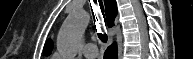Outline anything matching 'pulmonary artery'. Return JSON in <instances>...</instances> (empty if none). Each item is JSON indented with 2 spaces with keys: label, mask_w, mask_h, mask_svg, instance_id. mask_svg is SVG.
Returning a JSON list of instances; mask_svg holds the SVG:
<instances>
[{
  "label": "pulmonary artery",
  "mask_w": 193,
  "mask_h": 59,
  "mask_svg": "<svg viewBox=\"0 0 193 59\" xmlns=\"http://www.w3.org/2000/svg\"><path fill=\"white\" fill-rule=\"evenodd\" d=\"M98 54L97 46L95 43H88L84 48V55L88 59L95 58Z\"/></svg>",
  "instance_id": "obj_1"
}]
</instances>
